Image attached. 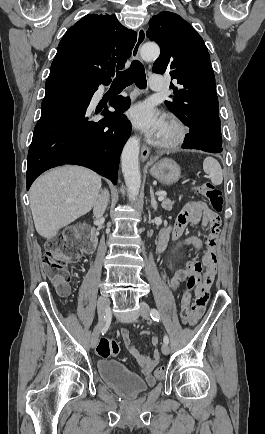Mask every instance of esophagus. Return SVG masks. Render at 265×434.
<instances>
[{
    "label": "esophagus",
    "mask_w": 265,
    "mask_h": 434,
    "mask_svg": "<svg viewBox=\"0 0 265 434\" xmlns=\"http://www.w3.org/2000/svg\"><path fill=\"white\" fill-rule=\"evenodd\" d=\"M146 40V30L143 27H140L137 32V40L132 50V58L135 60H139V52L141 46ZM150 154V149L147 145H142L141 147V160L145 162L148 159Z\"/></svg>",
    "instance_id": "esophagus-1"
}]
</instances>
